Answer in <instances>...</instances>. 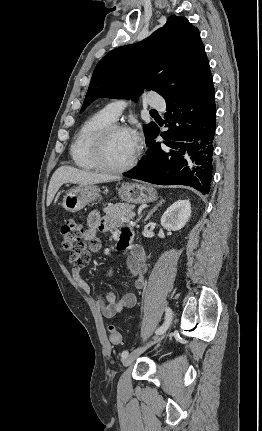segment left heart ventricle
Masks as SVG:
<instances>
[{
	"label": "left heart ventricle",
	"instance_id": "b2bd125f",
	"mask_svg": "<svg viewBox=\"0 0 262 431\" xmlns=\"http://www.w3.org/2000/svg\"><path fill=\"white\" fill-rule=\"evenodd\" d=\"M130 134L127 131L113 133L106 145V158L110 165L121 166L126 164L135 153Z\"/></svg>",
	"mask_w": 262,
	"mask_h": 431
}]
</instances>
